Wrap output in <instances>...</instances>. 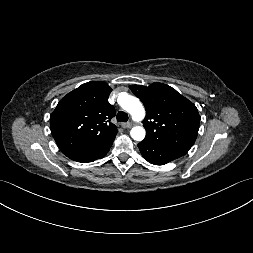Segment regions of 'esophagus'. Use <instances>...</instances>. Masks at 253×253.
I'll use <instances>...</instances> for the list:
<instances>
[{
	"instance_id": "1",
	"label": "esophagus",
	"mask_w": 253,
	"mask_h": 253,
	"mask_svg": "<svg viewBox=\"0 0 253 253\" xmlns=\"http://www.w3.org/2000/svg\"><path fill=\"white\" fill-rule=\"evenodd\" d=\"M132 126V123L131 122H127V123H123L122 124V127L123 128H130Z\"/></svg>"
}]
</instances>
